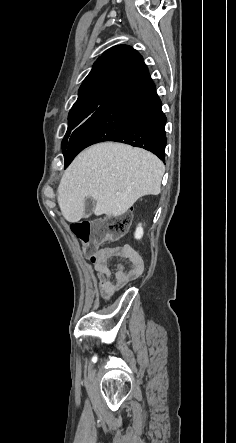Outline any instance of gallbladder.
<instances>
[{"instance_id":"obj_1","label":"gallbladder","mask_w":236,"mask_h":443,"mask_svg":"<svg viewBox=\"0 0 236 443\" xmlns=\"http://www.w3.org/2000/svg\"><path fill=\"white\" fill-rule=\"evenodd\" d=\"M95 200L91 197H88L85 199L84 202V218H88L93 213L94 207H95Z\"/></svg>"}]
</instances>
